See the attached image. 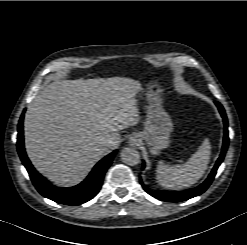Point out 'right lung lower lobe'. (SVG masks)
Here are the masks:
<instances>
[{"instance_id": "right-lung-lower-lobe-1", "label": "right lung lower lobe", "mask_w": 247, "mask_h": 245, "mask_svg": "<svg viewBox=\"0 0 247 245\" xmlns=\"http://www.w3.org/2000/svg\"><path fill=\"white\" fill-rule=\"evenodd\" d=\"M23 118L24 114L21 115L18 124L17 149L21 161L26 167L37 191L44 197L65 205L82 204L95 197L102 186L104 174L111 165L117 151H113L100 160L90 172L88 177L77 186L68 188L56 187L50 184L34 169L26 155L23 142Z\"/></svg>"}]
</instances>
